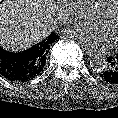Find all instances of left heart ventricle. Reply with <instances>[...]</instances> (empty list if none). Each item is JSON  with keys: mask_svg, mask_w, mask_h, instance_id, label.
<instances>
[{"mask_svg": "<svg viewBox=\"0 0 118 118\" xmlns=\"http://www.w3.org/2000/svg\"><path fill=\"white\" fill-rule=\"evenodd\" d=\"M94 22L105 29L113 45L118 44V7L110 15L98 13Z\"/></svg>", "mask_w": 118, "mask_h": 118, "instance_id": "left-heart-ventricle-1", "label": "left heart ventricle"}]
</instances>
